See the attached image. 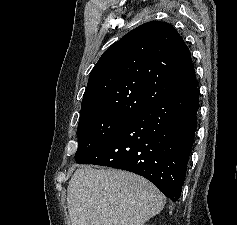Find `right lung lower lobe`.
Listing matches in <instances>:
<instances>
[{
  "label": "right lung lower lobe",
  "mask_w": 237,
  "mask_h": 225,
  "mask_svg": "<svg viewBox=\"0 0 237 225\" xmlns=\"http://www.w3.org/2000/svg\"><path fill=\"white\" fill-rule=\"evenodd\" d=\"M198 109L195 85L145 107L77 163L134 172L177 201L194 142Z\"/></svg>",
  "instance_id": "98d812e1"
}]
</instances>
